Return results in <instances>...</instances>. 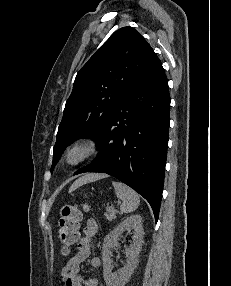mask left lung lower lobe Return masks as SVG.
Listing matches in <instances>:
<instances>
[{
	"instance_id": "obj_1",
	"label": "left lung lower lobe",
	"mask_w": 231,
	"mask_h": 286,
	"mask_svg": "<svg viewBox=\"0 0 231 286\" xmlns=\"http://www.w3.org/2000/svg\"><path fill=\"white\" fill-rule=\"evenodd\" d=\"M167 77L159 61L129 90L93 140L99 155L75 174L103 172L133 188L158 220L170 124Z\"/></svg>"
}]
</instances>
